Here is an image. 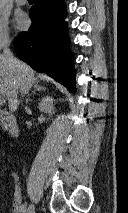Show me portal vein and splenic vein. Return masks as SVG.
<instances>
[{
    "label": "portal vein and splenic vein",
    "instance_id": "1",
    "mask_svg": "<svg viewBox=\"0 0 128 213\" xmlns=\"http://www.w3.org/2000/svg\"><path fill=\"white\" fill-rule=\"evenodd\" d=\"M5 102H6L5 97L0 95V104H4Z\"/></svg>",
    "mask_w": 128,
    "mask_h": 213
}]
</instances>
